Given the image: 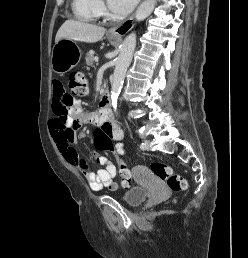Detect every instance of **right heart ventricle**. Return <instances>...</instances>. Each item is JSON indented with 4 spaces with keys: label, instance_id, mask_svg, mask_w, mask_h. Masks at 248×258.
Segmentation results:
<instances>
[{
    "label": "right heart ventricle",
    "instance_id": "1",
    "mask_svg": "<svg viewBox=\"0 0 248 258\" xmlns=\"http://www.w3.org/2000/svg\"><path fill=\"white\" fill-rule=\"evenodd\" d=\"M71 7L75 18L82 22H94L100 15L98 0H72Z\"/></svg>",
    "mask_w": 248,
    "mask_h": 258
}]
</instances>
